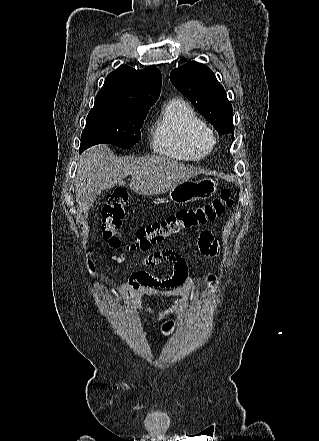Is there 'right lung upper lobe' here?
Segmentation results:
<instances>
[{
  "label": "right lung upper lobe",
  "instance_id": "cb5924a9",
  "mask_svg": "<svg viewBox=\"0 0 319 441\" xmlns=\"http://www.w3.org/2000/svg\"><path fill=\"white\" fill-rule=\"evenodd\" d=\"M161 73L153 66L135 70L122 64L105 79L94 107H151L161 92Z\"/></svg>",
  "mask_w": 319,
  "mask_h": 441
}]
</instances>
